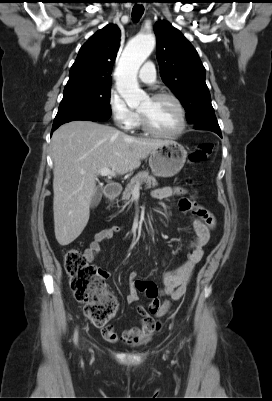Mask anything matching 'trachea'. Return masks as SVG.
<instances>
[{
	"mask_svg": "<svg viewBox=\"0 0 272 401\" xmlns=\"http://www.w3.org/2000/svg\"><path fill=\"white\" fill-rule=\"evenodd\" d=\"M144 13V7L142 5H135L132 9V19L137 22Z\"/></svg>",
	"mask_w": 272,
	"mask_h": 401,
	"instance_id": "obj_1",
	"label": "trachea"
}]
</instances>
